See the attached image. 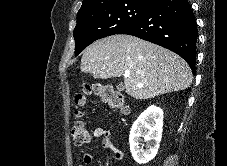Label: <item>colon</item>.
Instances as JSON below:
<instances>
[{"mask_svg":"<svg viewBox=\"0 0 227 166\" xmlns=\"http://www.w3.org/2000/svg\"><path fill=\"white\" fill-rule=\"evenodd\" d=\"M98 96L110 108L124 113L128 111L125 97L122 93L117 91L111 86L102 85L99 83L87 84L85 87L76 94L75 105L77 108H82L87 104L88 96ZM80 112L77 113V116ZM71 136L75 145H84L89 143L91 139L90 132L81 120L75 121L71 128Z\"/></svg>","mask_w":227,"mask_h":166,"instance_id":"obj_1","label":"colon"}]
</instances>
